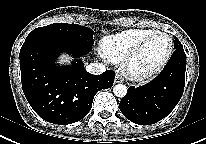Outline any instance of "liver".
I'll return each instance as SVG.
<instances>
[{
  "instance_id": "6515ba94",
  "label": "liver",
  "mask_w": 206,
  "mask_h": 144,
  "mask_svg": "<svg viewBox=\"0 0 206 144\" xmlns=\"http://www.w3.org/2000/svg\"><path fill=\"white\" fill-rule=\"evenodd\" d=\"M69 60H70V57L62 54V55L60 56L59 63H60V64H67V63L69 62Z\"/></svg>"
}]
</instances>
